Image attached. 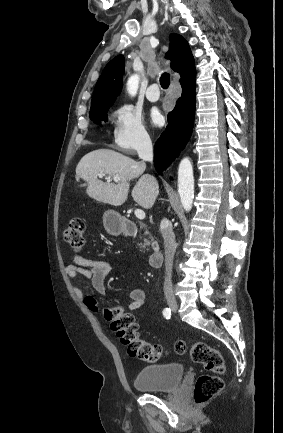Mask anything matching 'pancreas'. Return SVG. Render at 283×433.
I'll return each mask as SVG.
<instances>
[{
	"label": "pancreas",
	"instance_id": "cf45deb5",
	"mask_svg": "<svg viewBox=\"0 0 283 433\" xmlns=\"http://www.w3.org/2000/svg\"><path fill=\"white\" fill-rule=\"evenodd\" d=\"M144 235H149L148 231H145Z\"/></svg>",
	"mask_w": 283,
	"mask_h": 433
}]
</instances>
